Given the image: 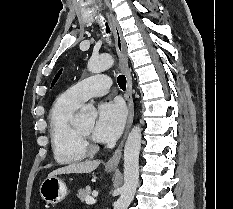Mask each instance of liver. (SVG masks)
<instances>
[{
  "label": "liver",
  "mask_w": 233,
  "mask_h": 209,
  "mask_svg": "<svg viewBox=\"0 0 233 209\" xmlns=\"http://www.w3.org/2000/svg\"><path fill=\"white\" fill-rule=\"evenodd\" d=\"M100 164L99 160L95 161H85L72 163L64 167H60L56 170H53L48 177L60 175V174H71V173H90L94 171Z\"/></svg>",
  "instance_id": "6515ba94"
}]
</instances>
